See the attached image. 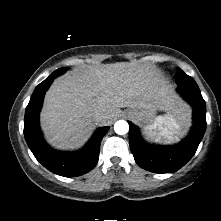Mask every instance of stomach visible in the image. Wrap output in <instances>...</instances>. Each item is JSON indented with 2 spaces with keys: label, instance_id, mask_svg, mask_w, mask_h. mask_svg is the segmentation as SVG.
I'll return each instance as SVG.
<instances>
[{
  "label": "stomach",
  "instance_id": "1",
  "mask_svg": "<svg viewBox=\"0 0 221 221\" xmlns=\"http://www.w3.org/2000/svg\"><path fill=\"white\" fill-rule=\"evenodd\" d=\"M125 114L136 124L142 126L145 132L157 141H166L160 134V129L158 128L157 117L155 116L156 110L129 108L125 111Z\"/></svg>",
  "mask_w": 221,
  "mask_h": 221
}]
</instances>
